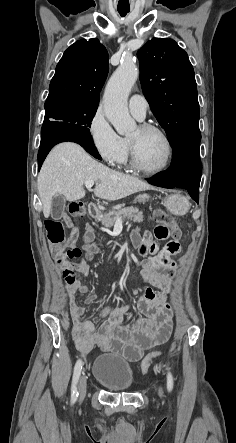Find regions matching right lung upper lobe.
Segmentation results:
<instances>
[{"label":"right lung upper lobe","instance_id":"cb5924a9","mask_svg":"<svg viewBox=\"0 0 236 443\" xmlns=\"http://www.w3.org/2000/svg\"><path fill=\"white\" fill-rule=\"evenodd\" d=\"M108 70V52L98 39L75 42L56 66L46 102L66 99L98 106Z\"/></svg>","mask_w":236,"mask_h":443}]
</instances>
